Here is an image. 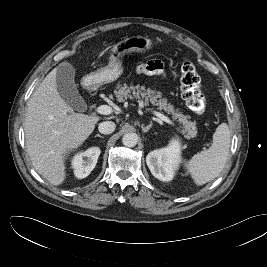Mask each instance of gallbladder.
<instances>
[{"instance_id":"obj_1","label":"gallbladder","mask_w":267,"mask_h":267,"mask_svg":"<svg viewBox=\"0 0 267 267\" xmlns=\"http://www.w3.org/2000/svg\"><path fill=\"white\" fill-rule=\"evenodd\" d=\"M75 70L69 63L60 64L56 72L58 92L64 101L77 111H85L87 105L80 95L74 81Z\"/></svg>"}]
</instances>
